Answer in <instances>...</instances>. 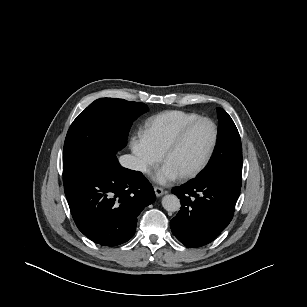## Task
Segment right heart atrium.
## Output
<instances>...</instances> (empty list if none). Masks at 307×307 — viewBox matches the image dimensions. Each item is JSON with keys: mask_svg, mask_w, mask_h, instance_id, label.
I'll return each mask as SVG.
<instances>
[{"mask_svg": "<svg viewBox=\"0 0 307 307\" xmlns=\"http://www.w3.org/2000/svg\"><path fill=\"white\" fill-rule=\"evenodd\" d=\"M130 146L135 158V167L142 174L149 173L162 160V154L156 151L142 134L135 135Z\"/></svg>", "mask_w": 307, "mask_h": 307, "instance_id": "1", "label": "right heart atrium"}]
</instances>
